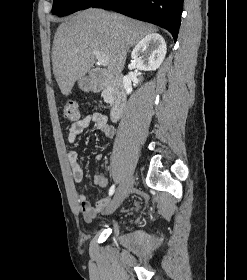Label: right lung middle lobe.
<instances>
[{"instance_id":"right-lung-middle-lobe-1","label":"right lung middle lobe","mask_w":247,"mask_h":280,"mask_svg":"<svg viewBox=\"0 0 247 280\" xmlns=\"http://www.w3.org/2000/svg\"><path fill=\"white\" fill-rule=\"evenodd\" d=\"M99 0H54L52 13L65 16L92 7Z\"/></svg>"}]
</instances>
